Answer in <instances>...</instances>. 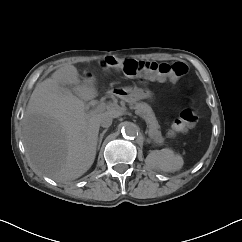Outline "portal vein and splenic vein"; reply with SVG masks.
Instances as JSON below:
<instances>
[{"label": "portal vein and splenic vein", "mask_w": 242, "mask_h": 242, "mask_svg": "<svg viewBox=\"0 0 242 242\" xmlns=\"http://www.w3.org/2000/svg\"><path fill=\"white\" fill-rule=\"evenodd\" d=\"M111 110V109H114L111 107V105L109 104H106V103H100L97 105V107L95 108L94 112H102L104 110Z\"/></svg>", "instance_id": "18ae733b"}]
</instances>
